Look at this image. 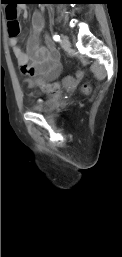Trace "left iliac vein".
Instances as JSON below:
<instances>
[{
    "mask_svg": "<svg viewBox=\"0 0 122 257\" xmlns=\"http://www.w3.org/2000/svg\"><path fill=\"white\" fill-rule=\"evenodd\" d=\"M61 46L64 49H69L70 48L71 44H70V41H69L68 37H66V36L62 37Z\"/></svg>",
    "mask_w": 122,
    "mask_h": 257,
    "instance_id": "1",
    "label": "left iliac vein"
}]
</instances>
